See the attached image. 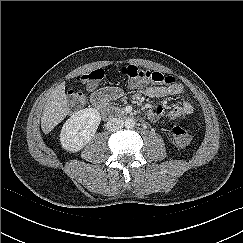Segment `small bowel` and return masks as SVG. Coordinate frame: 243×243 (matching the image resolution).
Segmentation results:
<instances>
[{
  "mask_svg": "<svg viewBox=\"0 0 243 243\" xmlns=\"http://www.w3.org/2000/svg\"><path fill=\"white\" fill-rule=\"evenodd\" d=\"M97 84H90L89 89L91 91L95 90ZM132 87L143 88L144 85L132 83ZM184 92V86L182 84H174L169 87H149L146 90L147 95L152 99H165L170 95H178ZM121 95V90L117 88L96 90L92 93L91 102L94 105H100L101 102H106L109 99L117 98ZM193 112V107L190 104H184L182 106H176L171 109L167 116L171 119H175L181 116L190 115ZM165 114L161 105H151L149 109L148 116L151 119L159 118Z\"/></svg>",
  "mask_w": 243,
  "mask_h": 243,
  "instance_id": "obj_1",
  "label": "small bowel"
}]
</instances>
